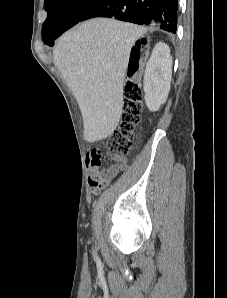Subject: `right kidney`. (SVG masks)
I'll return each instance as SVG.
<instances>
[{"label":"right kidney","instance_id":"right-kidney-1","mask_svg":"<svg viewBox=\"0 0 227 298\" xmlns=\"http://www.w3.org/2000/svg\"><path fill=\"white\" fill-rule=\"evenodd\" d=\"M172 77V57L167 44L155 45L146 65L143 87L150 111H157L166 102Z\"/></svg>","mask_w":227,"mask_h":298}]
</instances>
